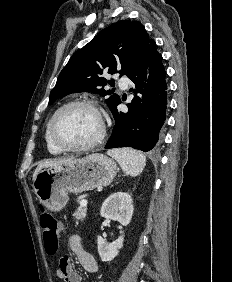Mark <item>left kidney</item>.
I'll list each match as a JSON object with an SVG mask.
<instances>
[{
    "instance_id": "obj_1",
    "label": "left kidney",
    "mask_w": 232,
    "mask_h": 282,
    "mask_svg": "<svg viewBox=\"0 0 232 282\" xmlns=\"http://www.w3.org/2000/svg\"><path fill=\"white\" fill-rule=\"evenodd\" d=\"M131 196L126 192L111 194L102 204L100 214L107 219H113L127 226L133 215ZM124 235H121L112 243H107L101 236L97 237L98 253L102 261H111L123 247Z\"/></svg>"
}]
</instances>
